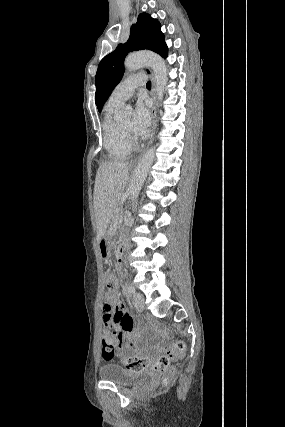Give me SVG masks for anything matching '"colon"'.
Returning <instances> with one entry per match:
<instances>
[{"label": "colon", "instance_id": "colon-1", "mask_svg": "<svg viewBox=\"0 0 285 427\" xmlns=\"http://www.w3.org/2000/svg\"><path fill=\"white\" fill-rule=\"evenodd\" d=\"M104 282L106 291L104 293V301H109L113 297V274L110 270L104 272ZM102 357L106 361H111L118 357V349L122 342L121 327L118 323L107 328L103 335ZM185 352V345L182 341L172 343L164 354L155 359H149L138 356H127L122 358L125 366L130 370H151L156 373L163 374L160 382V388L168 387L172 380L170 373V363L176 358L181 357Z\"/></svg>", "mask_w": 285, "mask_h": 427}]
</instances>
